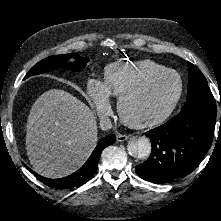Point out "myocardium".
Here are the masks:
<instances>
[{"instance_id": "obj_1", "label": "myocardium", "mask_w": 221, "mask_h": 221, "mask_svg": "<svg viewBox=\"0 0 221 221\" xmlns=\"http://www.w3.org/2000/svg\"><path fill=\"white\" fill-rule=\"evenodd\" d=\"M174 75L178 79V91L170 104L164 108L159 113L146 117V118H136L133 117L127 110L128 103L147 91L157 80L167 76ZM183 94V80L178 72L172 69H165L161 72L155 73L148 77L146 80L138 84L137 86L131 88L123 95L120 96L118 101V113L122 121L131 128L143 129L149 128L163 123L175 110Z\"/></svg>"}]
</instances>
